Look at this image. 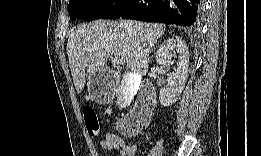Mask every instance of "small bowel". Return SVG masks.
Here are the masks:
<instances>
[{"instance_id": "c3829d8e", "label": "small bowel", "mask_w": 261, "mask_h": 156, "mask_svg": "<svg viewBox=\"0 0 261 156\" xmlns=\"http://www.w3.org/2000/svg\"><path fill=\"white\" fill-rule=\"evenodd\" d=\"M99 146L104 150L117 152L122 156H133L137 150L135 144H127L119 136L112 133H107L105 138L100 140Z\"/></svg>"}]
</instances>
